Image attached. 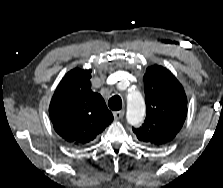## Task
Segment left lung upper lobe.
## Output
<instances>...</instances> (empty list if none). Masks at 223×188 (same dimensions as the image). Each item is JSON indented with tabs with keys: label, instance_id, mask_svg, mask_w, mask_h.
I'll use <instances>...</instances> for the list:
<instances>
[{
	"label": "left lung upper lobe",
	"instance_id": "obj_1",
	"mask_svg": "<svg viewBox=\"0 0 223 188\" xmlns=\"http://www.w3.org/2000/svg\"><path fill=\"white\" fill-rule=\"evenodd\" d=\"M144 91L147 116L133 132L148 146L164 145L176 136L185 121V91L169 70L158 65L146 69Z\"/></svg>",
	"mask_w": 223,
	"mask_h": 188
}]
</instances>
